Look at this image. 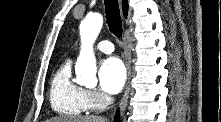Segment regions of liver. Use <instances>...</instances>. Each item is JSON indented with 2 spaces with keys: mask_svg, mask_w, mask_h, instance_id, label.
Listing matches in <instances>:
<instances>
[{
  "mask_svg": "<svg viewBox=\"0 0 221 122\" xmlns=\"http://www.w3.org/2000/svg\"><path fill=\"white\" fill-rule=\"evenodd\" d=\"M46 122H107L105 118L100 116H85V117H62L47 119Z\"/></svg>",
  "mask_w": 221,
  "mask_h": 122,
  "instance_id": "obj_1",
  "label": "liver"
}]
</instances>
